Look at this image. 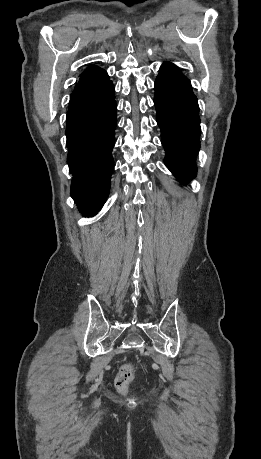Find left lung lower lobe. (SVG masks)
Segmentation results:
<instances>
[{"label":"left lung lower lobe","mask_w":261,"mask_h":459,"mask_svg":"<svg viewBox=\"0 0 261 459\" xmlns=\"http://www.w3.org/2000/svg\"><path fill=\"white\" fill-rule=\"evenodd\" d=\"M156 120L166 151L164 162L182 183L196 175L200 148V118L196 96L188 78L172 63H164L155 81Z\"/></svg>","instance_id":"obj_1"}]
</instances>
